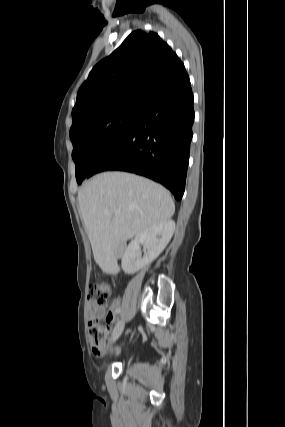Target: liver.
<instances>
[{
  "instance_id": "liver-1",
  "label": "liver",
  "mask_w": 285,
  "mask_h": 427,
  "mask_svg": "<svg viewBox=\"0 0 285 427\" xmlns=\"http://www.w3.org/2000/svg\"><path fill=\"white\" fill-rule=\"evenodd\" d=\"M78 200L94 259L101 267L115 266L121 244L175 212L165 188L124 172L94 176L78 191Z\"/></svg>"
}]
</instances>
